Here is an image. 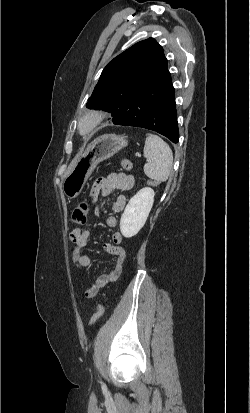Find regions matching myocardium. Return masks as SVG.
<instances>
[{
	"label": "myocardium",
	"instance_id": "obj_1",
	"mask_svg": "<svg viewBox=\"0 0 250 413\" xmlns=\"http://www.w3.org/2000/svg\"><path fill=\"white\" fill-rule=\"evenodd\" d=\"M107 116L108 113L102 109L87 110L78 119V132L83 136L92 134L105 121Z\"/></svg>",
	"mask_w": 250,
	"mask_h": 413
}]
</instances>
